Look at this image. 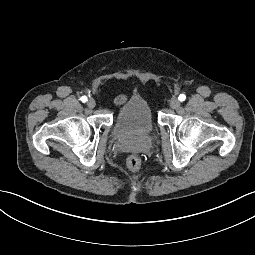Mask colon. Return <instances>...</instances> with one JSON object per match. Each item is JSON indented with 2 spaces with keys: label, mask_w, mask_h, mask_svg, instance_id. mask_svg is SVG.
<instances>
[{
  "label": "colon",
  "mask_w": 255,
  "mask_h": 255,
  "mask_svg": "<svg viewBox=\"0 0 255 255\" xmlns=\"http://www.w3.org/2000/svg\"><path fill=\"white\" fill-rule=\"evenodd\" d=\"M127 166L133 172L138 171L140 168L139 158L136 156H130L127 160Z\"/></svg>",
  "instance_id": "obj_1"
}]
</instances>
